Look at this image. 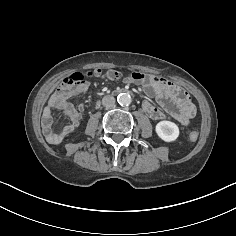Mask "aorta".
Returning a JSON list of instances; mask_svg holds the SVG:
<instances>
[{
	"instance_id": "762f6f07",
	"label": "aorta",
	"mask_w": 236,
	"mask_h": 236,
	"mask_svg": "<svg viewBox=\"0 0 236 236\" xmlns=\"http://www.w3.org/2000/svg\"><path fill=\"white\" fill-rule=\"evenodd\" d=\"M117 101L121 106H128L131 104L132 98L128 93H121L118 95Z\"/></svg>"
}]
</instances>
